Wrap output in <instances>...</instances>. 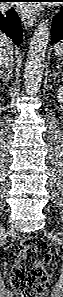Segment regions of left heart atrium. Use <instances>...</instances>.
I'll return each mask as SVG.
<instances>
[{
  "label": "left heart atrium",
  "instance_id": "39dd6f15",
  "mask_svg": "<svg viewBox=\"0 0 63 297\" xmlns=\"http://www.w3.org/2000/svg\"><path fill=\"white\" fill-rule=\"evenodd\" d=\"M36 8H37V6L34 4H24L23 5V10L25 12H29V13L35 11Z\"/></svg>",
  "mask_w": 63,
  "mask_h": 297
}]
</instances>
